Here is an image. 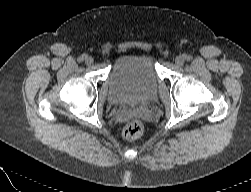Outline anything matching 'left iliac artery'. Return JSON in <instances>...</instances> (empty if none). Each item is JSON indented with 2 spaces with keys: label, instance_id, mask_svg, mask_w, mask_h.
Listing matches in <instances>:
<instances>
[{
  "label": "left iliac artery",
  "instance_id": "left-iliac-artery-1",
  "mask_svg": "<svg viewBox=\"0 0 251 192\" xmlns=\"http://www.w3.org/2000/svg\"><path fill=\"white\" fill-rule=\"evenodd\" d=\"M187 61H190L192 59V56L188 55L186 56Z\"/></svg>",
  "mask_w": 251,
  "mask_h": 192
}]
</instances>
